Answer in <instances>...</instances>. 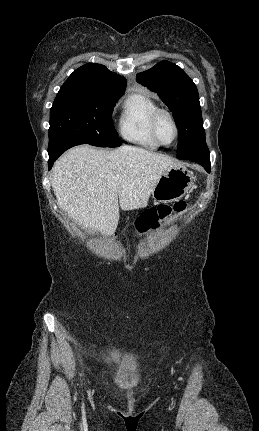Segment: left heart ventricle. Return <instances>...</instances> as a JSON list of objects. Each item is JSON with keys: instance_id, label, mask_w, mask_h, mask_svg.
<instances>
[{"instance_id": "b2bd125f", "label": "left heart ventricle", "mask_w": 259, "mask_h": 431, "mask_svg": "<svg viewBox=\"0 0 259 431\" xmlns=\"http://www.w3.org/2000/svg\"><path fill=\"white\" fill-rule=\"evenodd\" d=\"M157 132L160 140L169 143L174 137V128L166 115H161L157 123Z\"/></svg>"}]
</instances>
